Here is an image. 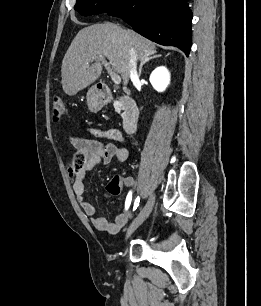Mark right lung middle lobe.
I'll use <instances>...</instances> for the list:
<instances>
[{
  "label": "right lung middle lobe",
  "instance_id": "dd1d6c3e",
  "mask_svg": "<svg viewBox=\"0 0 261 306\" xmlns=\"http://www.w3.org/2000/svg\"><path fill=\"white\" fill-rule=\"evenodd\" d=\"M129 0H77L74 9L81 15L89 16L92 14L108 13Z\"/></svg>",
  "mask_w": 261,
  "mask_h": 306
}]
</instances>
